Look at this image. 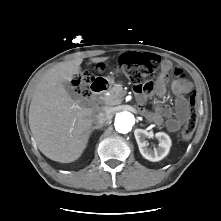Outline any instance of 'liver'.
I'll return each instance as SVG.
<instances>
[{
    "mask_svg": "<svg viewBox=\"0 0 221 221\" xmlns=\"http://www.w3.org/2000/svg\"><path fill=\"white\" fill-rule=\"evenodd\" d=\"M108 57L91 58L102 63ZM83 59L60 62L46 71L35 86L29 126L39 150L49 159L71 163L85 150L96 110L77 104L63 83L79 74Z\"/></svg>",
    "mask_w": 221,
    "mask_h": 221,
    "instance_id": "1",
    "label": "liver"
}]
</instances>
